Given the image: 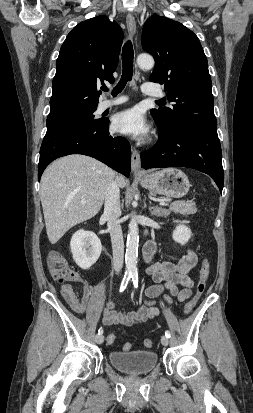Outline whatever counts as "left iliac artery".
<instances>
[{
  "label": "left iliac artery",
  "mask_w": 253,
  "mask_h": 413,
  "mask_svg": "<svg viewBox=\"0 0 253 413\" xmlns=\"http://www.w3.org/2000/svg\"><path fill=\"white\" fill-rule=\"evenodd\" d=\"M132 281L135 288L138 287V276L136 274L132 275ZM165 336L170 338V332L168 330L165 331Z\"/></svg>",
  "instance_id": "1"
}]
</instances>
